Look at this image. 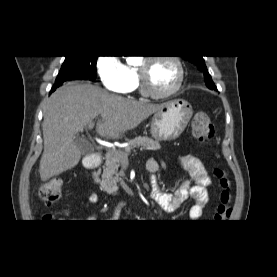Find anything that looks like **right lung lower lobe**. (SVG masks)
Returning <instances> with one entry per match:
<instances>
[{"instance_id": "98d812e1", "label": "right lung lower lobe", "mask_w": 277, "mask_h": 277, "mask_svg": "<svg viewBox=\"0 0 277 277\" xmlns=\"http://www.w3.org/2000/svg\"><path fill=\"white\" fill-rule=\"evenodd\" d=\"M70 79H85V78L83 76H79V74H61L56 78L55 84H54L51 92H53L63 82L70 80Z\"/></svg>"}]
</instances>
